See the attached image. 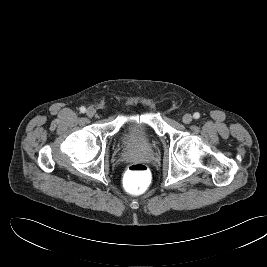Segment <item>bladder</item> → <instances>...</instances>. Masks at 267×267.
<instances>
[{"mask_svg":"<svg viewBox=\"0 0 267 267\" xmlns=\"http://www.w3.org/2000/svg\"><path fill=\"white\" fill-rule=\"evenodd\" d=\"M146 127L143 122L136 118L127 121L120 132V139L122 142L143 147L149 144L150 138L145 133Z\"/></svg>","mask_w":267,"mask_h":267,"instance_id":"1","label":"bladder"}]
</instances>
